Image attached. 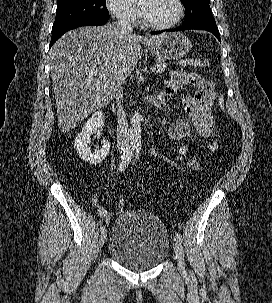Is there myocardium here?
<instances>
[{
    "instance_id": "f54148a6",
    "label": "myocardium",
    "mask_w": 272,
    "mask_h": 303,
    "mask_svg": "<svg viewBox=\"0 0 272 303\" xmlns=\"http://www.w3.org/2000/svg\"><path fill=\"white\" fill-rule=\"evenodd\" d=\"M175 3L178 8L177 15L171 22L167 24H154L150 22L144 15L143 11L140 9V16L143 26L149 29L159 30V31L168 30L175 27L181 21L184 15V4L182 0H175Z\"/></svg>"
}]
</instances>
